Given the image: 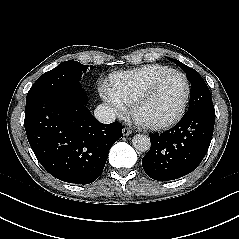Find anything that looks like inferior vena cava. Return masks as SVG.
I'll use <instances>...</instances> for the list:
<instances>
[{"label": "inferior vena cava", "mask_w": 239, "mask_h": 239, "mask_svg": "<svg viewBox=\"0 0 239 239\" xmlns=\"http://www.w3.org/2000/svg\"><path fill=\"white\" fill-rule=\"evenodd\" d=\"M95 118L104 124H110L115 121V112L108 106L101 104L98 105L94 111Z\"/></svg>", "instance_id": "602c4592"}]
</instances>
